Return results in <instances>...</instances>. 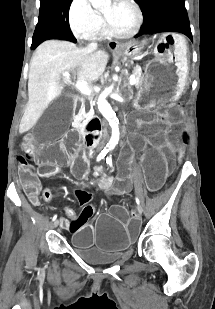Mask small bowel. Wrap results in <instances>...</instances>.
Masks as SVG:
<instances>
[{
  "mask_svg": "<svg viewBox=\"0 0 215 309\" xmlns=\"http://www.w3.org/2000/svg\"><path fill=\"white\" fill-rule=\"evenodd\" d=\"M126 190H127L126 185H121L120 187L116 188V193L117 194H122ZM78 192H77V194H78ZM38 195H39V183L37 181H34L33 183L29 184L28 196H29L30 200L34 204H37V202H38ZM77 198H78V196H77Z\"/></svg>",
  "mask_w": 215,
  "mask_h": 309,
  "instance_id": "1",
  "label": "small bowel"
}]
</instances>
